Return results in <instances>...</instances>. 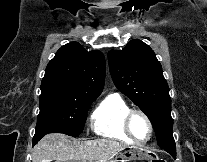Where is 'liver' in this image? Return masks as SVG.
<instances>
[{
	"label": "liver",
	"instance_id": "1",
	"mask_svg": "<svg viewBox=\"0 0 207 162\" xmlns=\"http://www.w3.org/2000/svg\"><path fill=\"white\" fill-rule=\"evenodd\" d=\"M127 147L111 139L71 140L61 133L44 136L34 147L32 162H108Z\"/></svg>",
	"mask_w": 207,
	"mask_h": 162
}]
</instances>
